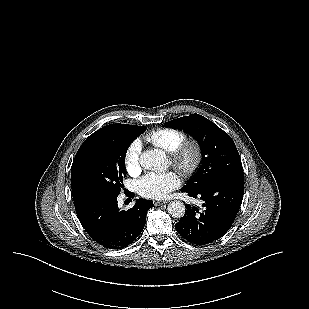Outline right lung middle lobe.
<instances>
[{
    "mask_svg": "<svg viewBox=\"0 0 309 309\" xmlns=\"http://www.w3.org/2000/svg\"><path fill=\"white\" fill-rule=\"evenodd\" d=\"M146 127L118 124L107 134L91 141L77 164L79 190L87 198L119 195L126 176L125 155L132 141Z\"/></svg>",
    "mask_w": 309,
    "mask_h": 309,
    "instance_id": "dd1d6c3e",
    "label": "right lung middle lobe"
}]
</instances>
